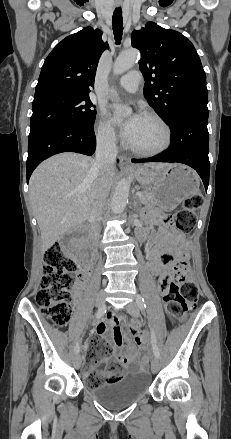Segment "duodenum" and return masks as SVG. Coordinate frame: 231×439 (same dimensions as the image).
Instances as JSON below:
<instances>
[{"label":"duodenum","instance_id":"duodenum-1","mask_svg":"<svg viewBox=\"0 0 231 439\" xmlns=\"http://www.w3.org/2000/svg\"><path fill=\"white\" fill-rule=\"evenodd\" d=\"M84 231H85L84 228H80V227H78V228H75V229L73 230V232H72L71 235H72V236H78V235L82 234ZM87 248H88V249H92L91 244H87ZM91 261H92L91 259L87 260L86 263H85V265L83 266V268L86 267L87 270H89V264L91 263Z\"/></svg>","mask_w":231,"mask_h":439}]
</instances>
